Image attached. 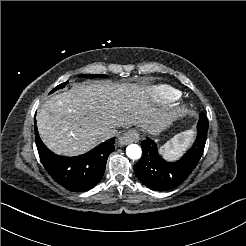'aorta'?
Instances as JSON below:
<instances>
[{
	"mask_svg": "<svg viewBox=\"0 0 246 246\" xmlns=\"http://www.w3.org/2000/svg\"><path fill=\"white\" fill-rule=\"evenodd\" d=\"M126 155L133 160L139 159L142 155L141 147L137 144H130L126 148Z\"/></svg>",
	"mask_w": 246,
	"mask_h": 246,
	"instance_id": "762f6f07",
	"label": "aorta"
}]
</instances>
